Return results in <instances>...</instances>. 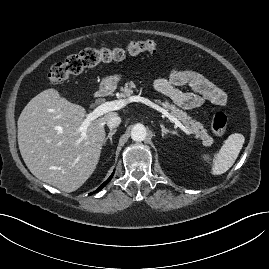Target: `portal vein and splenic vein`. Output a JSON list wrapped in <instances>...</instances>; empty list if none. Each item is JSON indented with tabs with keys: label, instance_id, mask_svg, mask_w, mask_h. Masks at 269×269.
Instances as JSON below:
<instances>
[{
	"label": "portal vein and splenic vein",
	"instance_id": "obj_1",
	"mask_svg": "<svg viewBox=\"0 0 269 269\" xmlns=\"http://www.w3.org/2000/svg\"><path fill=\"white\" fill-rule=\"evenodd\" d=\"M129 102H141L156 109L157 111L161 112L165 117H167L170 121L175 123V125L179 127L181 130H183L186 134H189L188 129L178 119L173 117L167 110L153 103L149 99L140 96H131L129 99H119L110 102H105L99 105L83 121V123L79 128L80 132L82 133L83 136H86V130L93 120L110 111L119 110L125 107ZM210 143H212V141H210Z\"/></svg>",
	"mask_w": 269,
	"mask_h": 269
}]
</instances>
